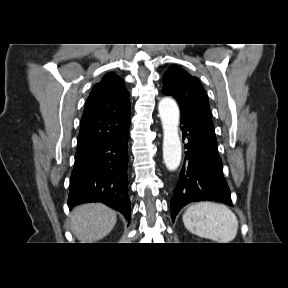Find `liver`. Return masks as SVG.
<instances>
[{
  "mask_svg": "<svg viewBox=\"0 0 288 288\" xmlns=\"http://www.w3.org/2000/svg\"><path fill=\"white\" fill-rule=\"evenodd\" d=\"M117 222L116 212L100 203H87L71 213V231L81 243H93L107 236ZM89 241V242H86Z\"/></svg>",
  "mask_w": 288,
  "mask_h": 288,
  "instance_id": "6515ba94",
  "label": "liver"
}]
</instances>
